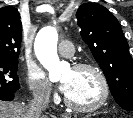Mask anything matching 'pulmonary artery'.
<instances>
[{"instance_id": "1", "label": "pulmonary artery", "mask_w": 133, "mask_h": 118, "mask_svg": "<svg viewBox=\"0 0 133 118\" xmlns=\"http://www.w3.org/2000/svg\"><path fill=\"white\" fill-rule=\"evenodd\" d=\"M58 51L64 57H71L74 54V45L70 41L63 40L59 43Z\"/></svg>"}]
</instances>
